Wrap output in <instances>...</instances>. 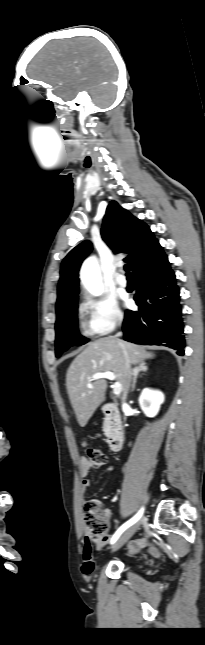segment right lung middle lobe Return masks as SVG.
Here are the masks:
<instances>
[{
	"mask_svg": "<svg viewBox=\"0 0 205 645\" xmlns=\"http://www.w3.org/2000/svg\"><path fill=\"white\" fill-rule=\"evenodd\" d=\"M56 329V357L72 345H83L88 340L78 335L77 329V299L71 306L57 314Z\"/></svg>",
	"mask_w": 205,
	"mask_h": 645,
	"instance_id": "obj_1",
	"label": "right lung middle lobe"
}]
</instances>
